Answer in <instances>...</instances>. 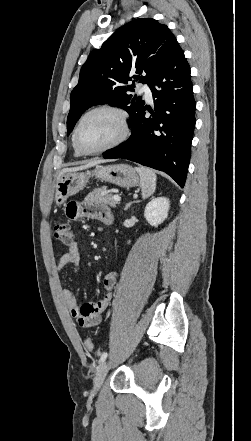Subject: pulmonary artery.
Wrapping results in <instances>:
<instances>
[{"mask_svg":"<svg viewBox=\"0 0 251 441\" xmlns=\"http://www.w3.org/2000/svg\"><path fill=\"white\" fill-rule=\"evenodd\" d=\"M139 91L141 93H144V95L148 101L152 100V91H151V88L148 84H146V83L142 84L139 88Z\"/></svg>","mask_w":251,"mask_h":441,"instance_id":"obj_1","label":"pulmonary artery"}]
</instances>
